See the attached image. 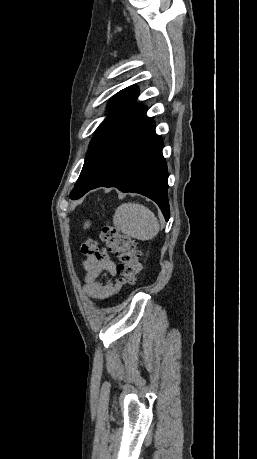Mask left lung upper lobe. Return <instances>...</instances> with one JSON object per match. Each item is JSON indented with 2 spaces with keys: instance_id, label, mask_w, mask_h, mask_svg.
I'll list each match as a JSON object with an SVG mask.
<instances>
[{
  "instance_id": "1",
  "label": "left lung upper lobe",
  "mask_w": 257,
  "mask_h": 459,
  "mask_svg": "<svg viewBox=\"0 0 257 459\" xmlns=\"http://www.w3.org/2000/svg\"><path fill=\"white\" fill-rule=\"evenodd\" d=\"M137 96V87L130 86L118 92L110 100L108 107L113 109L114 112L99 125L89 144V150L85 158L81 174L70 194L71 199H78L82 197L94 182L96 173L100 166L102 141L107 131L134 106Z\"/></svg>"
}]
</instances>
